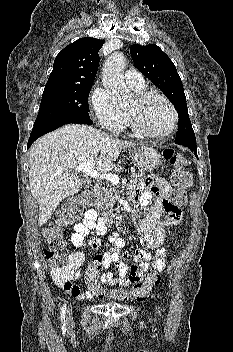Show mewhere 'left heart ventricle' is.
Listing matches in <instances>:
<instances>
[{
    "label": "left heart ventricle",
    "instance_id": "b2bd125f",
    "mask_svg": "<svg viewBox=\"0 0 233 352\" xmlns=\"http://www.w3.org/2000/svg\"><path fill=\"white\" fill-rule=\"evenodd\" d=\"M128 111L133 113L140 125L151 133H163L172 123V113L168 105L159 98L152 99L144 105L135 100Z\"/></svg>",
    "mask_w": 233,
    "mask_h": 352
}]
</instances>
